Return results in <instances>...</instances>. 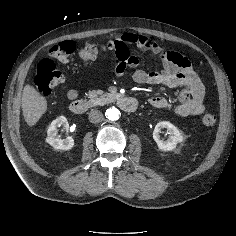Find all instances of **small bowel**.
<instances>
[{"label": "small bowel", "instance_id": "c3829d8e", "mask_svg": "<svg viewBox=\"0 0 236 236\" xmlns=\"http://www.w3.org/2000/svg\"><path fill=\"white\" fill-rule=\"evenodd\" d=\"M122 48L116 52L118 64L115 68L117 76L124 74L127 67L136 68L139 64L138 58L130 54L129 46L135 45L141 50L157 55L162 63L159 71L146 72L135 69L132 79L138 84L164 85L169 88H178V100L176 104L171 103L162 96H154L149 99L151 106L155 108H172L176 114L182 117H191L201 114L204 109V86L195 73L190 61L183 55L167 51L150 37L127 33L114 41ZM77 91L69 90L67 98L76 99Z\"/></svg>", "mask_w": 236, "mask_h": 236}]
</instances>
